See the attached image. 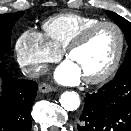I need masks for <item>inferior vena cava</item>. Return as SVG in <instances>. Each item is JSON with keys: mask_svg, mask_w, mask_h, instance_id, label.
Returning <instances> with one entry per match:
<instances>
[{"mask_svg": "<svg viewBox=\"0 0 131 131\" xmlns=\"http://www.w3.org/2000/svg\"><path fill=\"white\" fill-rule=\"evenodd\" d=\"M25 76L30 78H37L46 72L45 66H28L22 69Z\"/></svg>", "mask_w": 131, "mask_h": 131, "instance_id": "602c4592", "label": "inferior vena cava"}]
</instances>
